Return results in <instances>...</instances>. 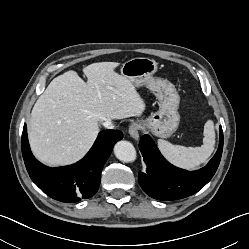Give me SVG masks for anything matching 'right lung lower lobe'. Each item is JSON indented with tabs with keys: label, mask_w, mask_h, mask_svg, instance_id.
<instances>
[{
	"label": "right lung lower lobe",
	"mask_w": 249,
	"mask_h": 249,
	"mask_svg": "<svg viewBox=\"0 0 249 249\" xmlns=\"http://www.w3.org/2000/svg\"><path fill=\"white\" fill-rule=\"evenodd\" d=\"M123 138L117 130L101 131L87 155L70 166L50 168L35 159L27 138L26 124L22 133V154L32 181L48 196L61 202H78L92 197L98 190L102 168L114 144Z\"/></svg>",
	"instance_id": "obj_1"
}]
</instances>
